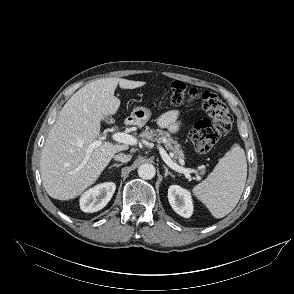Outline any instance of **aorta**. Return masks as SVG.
Segmentation results:
<instances>
[{"label": "aorta", "mask_w": 294, "mask_h": 294, "mask_svg": "<svg viewBox=\"0 0 294 294\" xmlns=\"http://www.w3.org/2000/svg\"><path fill=\"white\" fill-rule=\"evenodd\" d=\"M156 169L152 164H142L138 168V175L142 179L149 180L155 176Z\"/></svg>", "instance_id": "obj_1"}]
</instances>
